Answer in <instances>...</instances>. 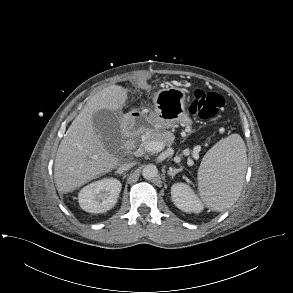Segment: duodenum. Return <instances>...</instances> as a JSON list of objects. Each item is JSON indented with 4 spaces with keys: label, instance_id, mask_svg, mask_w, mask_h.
I'll return each mask as SVG.
<instances>
[{
    "label": "duodenum",
    "instance_id": "obj_1",
    "mask_svg": "<svg viewBox=\"0 0 293 293\" xmlns=\"http://www.w3.org/2000/svg\"><path fill=\"white\" fill-rule=\"evenodd\" d=\"M138 117H139V115L137 113H130V114H128L127 117L124 120V123H125L126 127H129V125L133 121V119L134 118H138ZM131 145H132L131 139L127 140L126 146L127 147H131Z\"/></svg>",
    "mask_w": 293,
    "mask_h": 293
}]
</instances>
